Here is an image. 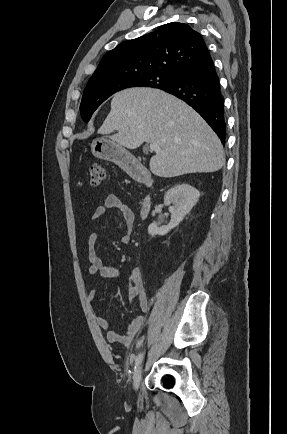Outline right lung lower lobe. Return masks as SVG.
I'll return each instance as SVG.
<instances>
[{
    "label": "right lung lower lobe",
    "instance_id": "1",
    "mask_svg": "<svg viewBox=\"0 0 287 434\" xmlns=\"http://www.w3.org/2000/svg\"><path fill=\"white\" fill-rule=\"evenodd\" d=\"M162 90L193 107L216 132L221 142L225 143L224 101L219 78L210 55L181 71L175 83Z\"/></svg>",
    "mask_w": 287,
    "mask_h": 434
}]
</instances>
